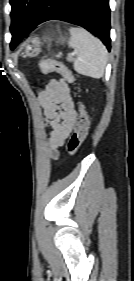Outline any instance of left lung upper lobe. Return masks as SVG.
I'll return each mask as SVG.
<instances>
[{"instance_id": "left-lung-upper-lobe-1", "label": "left lung upper lobe", "mask_w": 134, "mask_h": 281, "mask_svg": "<svg viewBox=\"0 0 134 281\" xmlns=\"http://www.w3.org/2000/svg\"><path fill=\"white\" fill-rule=\"evenodd\" d=\"M44 0H10L11 11V31H25L35 13ZM11 49L15 48L14 41H11Z\"/></svg>"}]
</instances>
